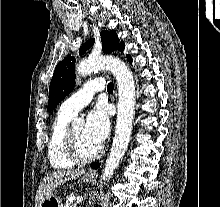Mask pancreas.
<instances>
[{"label": "pancreas", "instance_id": "cf45deb5", "mask_svg": "<svg viewBox=\"0 0 220 207\" xmlns=\"http://www.w3.org/2000/svg\"><path fill=\"white\" fill-rule=\"evenodd\" d=\"M64 207H78L77 204L67 201ZM80 207V206H79Z\"/></svg>", "mask_w": 220, "mask_h": 207}]
</instances>
